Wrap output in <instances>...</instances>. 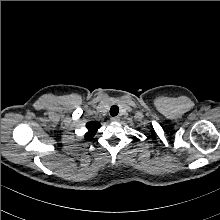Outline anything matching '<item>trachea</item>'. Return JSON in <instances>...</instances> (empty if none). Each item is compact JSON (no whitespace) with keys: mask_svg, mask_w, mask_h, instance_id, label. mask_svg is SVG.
Segmentation results:
<instances>
[{"mask_svg":"<svg viewBox=\"0 0 220 220\" xmlns=\"http://www.w3.org/2000/svg\"><path fill=\"white\" fill-rule=\"evenodd\" d=\"M119 113V108L116 106V105H113L111 108H110V115L111 116H117Z\"/></svg>","mask_w":220,"mask_h":220,"instance_id":"1","label":"trachea"}]
</instances>
